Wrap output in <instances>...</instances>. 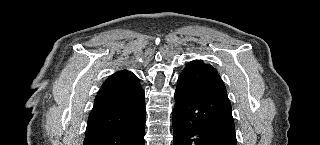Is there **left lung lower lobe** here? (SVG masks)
I'll return each mask as SVG.
<instances>
[{"label": "left lung lower lobe", "instance_id": "obj_1", "mask_svg": "<svg viewBox=\"0 0 320 145\" xmlns=\"http://www.w3.org/2000/svg\"><path fill=\"white\" fill-rule=\"evenodd\" d=\"M174 145H237L231 104L217 70L189 62L177 81Z\"/></svg>", "mask_w": 320, "mask_h": 145}]
</instances>
